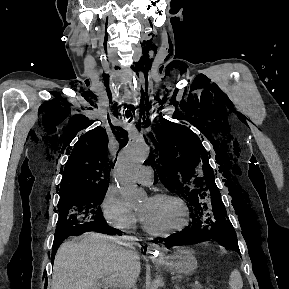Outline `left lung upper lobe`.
<instances>
[{
  "label": "left lung upper lobe",
  "instance_id": "1",
  "mask_svg": "<svg viewBox=\"0 0 289 289\" xmlns=\"http://www.w3.org/2000/svg\"><path fill=\"white\" fill-rule=\"evenodd\" d=\"M155 129V135H151L154 149L147 161L156 168L155 179L189 202L194 223L213 227L217 242L240 253L208 154L198 136L167 120Z\"/></svg>",
  "mask_w": 289,
  "mask_h": 289
}]
</instances>
